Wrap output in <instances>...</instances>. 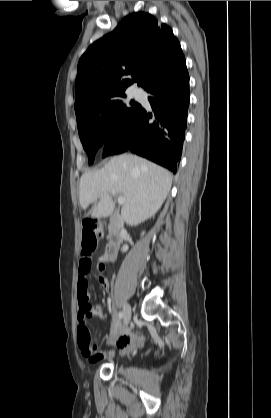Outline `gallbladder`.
Here are the masks:
<instances>
[{"label": "gallbladder", "mask_w": 271, "mask_h": 418, "mask_svg": "<svg viewBox=\"0 0 271 418\" xmlns=\"http://www.w3.org/2000/svg\"><path fill=\"white\" fill-rule=\"evenodd\" d=\"M111 220L114 221V216L113 215L111 216Z\"/></svg>", "instance_id": "bac80fb5"}]
</instances>
